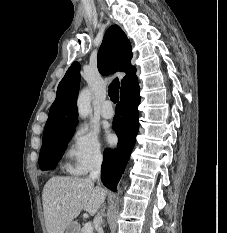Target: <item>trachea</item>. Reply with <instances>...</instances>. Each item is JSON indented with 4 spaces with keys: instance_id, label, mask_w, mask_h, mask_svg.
<instances>
[{
    "instance_id": "obj_1",
    "label": "trachea",
    "mask_w": 227,
    "mask_h": 233,
    "mask_svg": "<svg viewBox=\"0 0 227 233\" xmlns=\"http://www.w3.org/2000/svg\"><path fill=\"white\" fill-rule=\"evenodd\" d=\"M108 94L114 103H117L119 101V80L118 79H115L109 85Z\"/></svg>"
}]
</instances>
